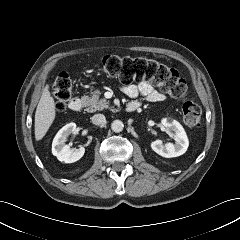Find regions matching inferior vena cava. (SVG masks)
<instances>
[{
	"instance_id": "obj_1",
	"label": "inferior vena cava",
	"mask_w": 240,
	"mask_h": 240,
	"mask_svg": "<svg viewBox=\"0 0 240 240\" xmlns=\"http://www.w3.org/2000/svg\"><path fill=\"white\" fill-rule=\"evenodd\" d=\"M91 121L94 125H100L105 123L106 118L103 114H95L91 117Z\"/></svg>"
}]
</instances>
